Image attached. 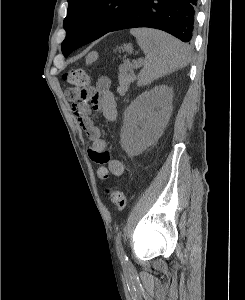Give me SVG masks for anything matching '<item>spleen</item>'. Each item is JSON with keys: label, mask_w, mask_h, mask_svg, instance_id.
Here are the masks:
<instances>
[{"label": "spleen", "mask_w": 245, "mask_h": 300, "mask_svg": "<svg viewBox=\"0 0 245 300\" xmlns=\"http://www.w3.org/2000/svg\"><path fill=\"white\" fill-rule=\"evenodd\" d=\"M130 32L146 55L138 86L150 84L188 65V51L178 39L154 29H132Z\"/></svg>", "instance_id": "obj_1"}]
</instances>
